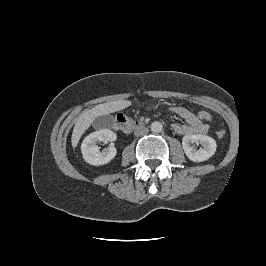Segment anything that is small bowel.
I'll return each instance as SVG.
<instances>
[{"label":"small bowel","instance_id":"obj_1","mask_svg":"<svg viewBox=\"0 0 266 266\" xmlns=\"http://www.w3.org/2000/svg\"><path fill=\"white\" fill-rule=\"evenodd\" d=\"M170 110L181 117L185 124H173V130L179 135L204 134L209 126L197 118V116L188 108L183 106H174Z\"/></svg>","mask_w":266,"mask_h":266}]
</instances>
